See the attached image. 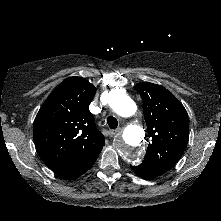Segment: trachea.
<instances>
[{"instance_id": "1", "label": "trachea", "mask_w": 221, "mask_h": 221, "mask_svg": "<svg viewBox=\"0 0 221 221\" xmlns=\"http://www.w3.org/2000/svg\"><path fill=\"white\" fill-rule=\"evenodd\" d=\"M107 124H108L109 128L115 129L118 126V121H117V119L115 117L109 116L107 118Z\"/></svg>"}]
</instances>
